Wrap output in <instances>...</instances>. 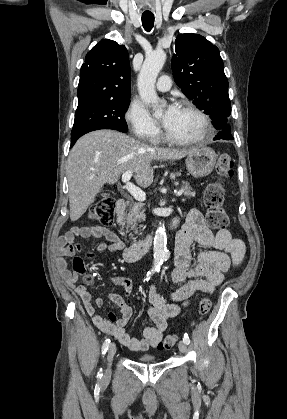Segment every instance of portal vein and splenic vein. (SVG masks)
Here are the masks:
<instances>
[{"mask_svg":"<svg viewBox=\"0 0 287 419\" xmlns=\"http://www.w3.org/2000/svg\"><path fill=\"white\" fill-rule=\"evenodd\" d=\"M133 175L132 171H126L122 174V182L125 183L127 191L139 202H144L146 200V194L139 187L135 186L130 182V179ZM183 189L176 192V196H181L183 194Z\"/></svg>","mask_w":287,"mask_h":419,"instance_id":"portal-vein-and-splenic-vein-1","label":"portal vein and splenic vein"}]
</instances>
